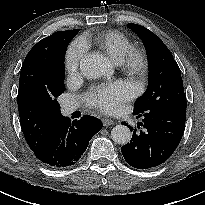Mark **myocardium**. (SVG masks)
<instances>
[{
	"mask_svg": "<svg viewBox=\"0 0 205 205\" xmlns=\"http://www.w3.org/2000/svg\"><path fill=\"white\" fill-rule=\"evenodd\" d=\"M119 65L124 73L142 79L148 70V57L144 50L132 48Z\"/></svg>",
	"mask_w": 205,
	"mask_h": 205,
	"instance_id": "obj_1",
	"label": "myocardium"
}]
</instances>
